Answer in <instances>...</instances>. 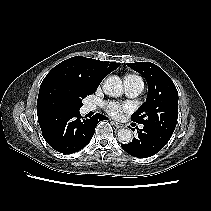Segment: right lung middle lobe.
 <instances>
[{
    "label": "right lung middle lobe",
    "mask_w": 211,
    "mask_h": 211,
    "mask_svg": "<svg viewBox=\"0 0 211 211\" xmlns=\"http://www.w3.org/2000/svg\"><path fill=\"white\" fill-rule=\"evenodd\" d=\"M93 93L76 83L56 78L46 82L40 89L38 104L45 113L57 110L77 111L83 105L82 99Z\"/></svg>",
    "instance_id": "obj_1"
}]
</instances>
